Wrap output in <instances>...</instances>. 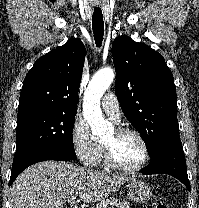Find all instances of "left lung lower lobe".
Listing matches in <instances>:
<instances>
[{
    "label": "left lung lower lobe",
    "mask_w": 199,
    "mask_h": 208,
    "mask_svg": "<svg viewBox=\"0 0 199 208\" xmlns=\"http://www.w3.org/2000/svg\"><path fill=\"white\" fill-rule=\"evenodd\" d=\"M142 173L169 174L180 180L189 190L190 182L180 136L165 141L151 156V162L142 169Z\"/></svg>",
    "instance_id": "0a47b994"
}]
</instances>
